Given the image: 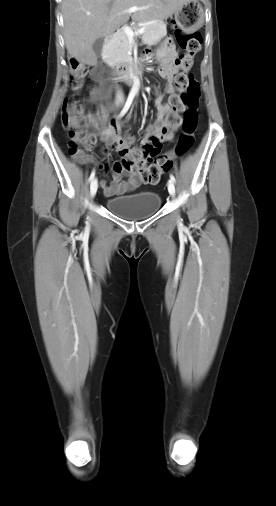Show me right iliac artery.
I'll list each match as a JSON object with an SVG mask.
<instances>
[{
    "label": "right iliac artery",
    "mask_w": 276,
    "mask_h": 506,
    "mask_svg": "<svg viewBox=\"0 0 276 506\" xmlns=\"http://www.w3.org/2000/svg\"><path fill=\"white\" fill-rule=\"evenodd\" d=\"M134 94H129L128 98H127V101L123 107V109L121 110L120 114H119V118L123 117L126 112L129 110L131 104H132V101H133V98H134ZM95 177V171H92L90 177H89V181L92 182L93 179Z\"/></svg>",
    "instance_id": "82829eb1"
}]
</instances>
